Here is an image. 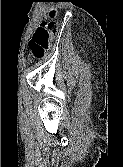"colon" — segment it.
Returning a JSON list of instances; mask_svg holds the SVG:
<instances>
[{
  "mask_svg": "<svg viewBox=\"0 0 123 167\" xmlns=\"http://www.w3.org/2000/svg\"><path fill=\"white\" fill-rule=\"evenodd\" d=\"M55 11L50 12V20L38 26L29 41V57L31 60L40 59L44 56L51 39V35L57 30Z\"/></svg>",
  "mask_w": 123,
  "mask_h": 167,
  "instance_id": "5ec220e1",
  "label": "colon"
}]
</instances>
